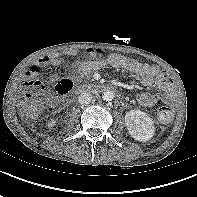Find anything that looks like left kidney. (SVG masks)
I'll return each mask as SVG.
<instances>
[{
	"label": "left kidney",
	"instance_id": "5707ae66",
	"mask_svg": "<svg viewBox=\"0 0 197 197\" xmlns=\"http://www.w3.org/2000/svg\"><path fill=\"white\" fill-rule=\"evenodd\" d=\"M125 124L130 135L137 141L150 140L155 132L152 119L140 110H130L125 115Z\"/></svg>",
	"mask_w": 197,
	"mask_h": 197
}]
</instances>
